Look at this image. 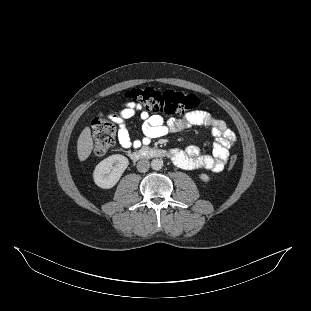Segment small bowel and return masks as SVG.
Instances as JSON below:
<instances>
[{"instance_id": "1", "label": "small bowel", "mask_w": 311, "mask_h": 311, "mask_svg": "<svg viewBox=\"0 0 311 311\" xmlns=\"http://www.w3.org/2000/svg\"><path fill=\"white\" fill-rule=\"evenodd\" d=\"M135 115H138L142 120V138L137 140L131 138L126 126V120ZM111 119L118 125L117 138L121 146L126 149L149 144L153 139L185 128L207 127L215 137L212 154H203L196 146L170 151L172 162L185 170L207 169L213 172H221L236 144V136L226 123L205 111H192L181 119L165 120L160 115L150 114L148 110L135 102H128L119 114L112 115Z\"/></svg>"}]
</instances>
